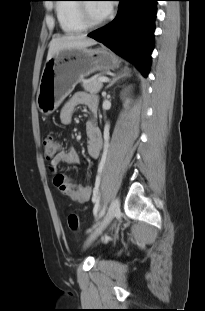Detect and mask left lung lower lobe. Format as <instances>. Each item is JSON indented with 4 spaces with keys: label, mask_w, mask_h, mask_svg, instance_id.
<instances>
[{
    "label": "left lung lower lobe",
    "mask_w": 205,
    "mask_h": 311,
    "mask_svg": "<svg viewBox=\"0 0 205 311\" xmlns=\"http://www.w3.org/2000/svg\"><path fill=\"white\" fill-rule=\"evenodd\" d=\"M116 18L88 36L135 64L144 77L150 68L158 0H119Z\"/></svg>",
    "instance_id": "0a47b994"
}]
</instances>
